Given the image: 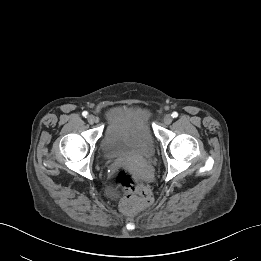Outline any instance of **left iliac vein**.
I'll return each mask as SVG.
<instances>
[{
	"label": "left iliac vein",
	"mask_w": 261,
	"mask_h": 261,
	"mask_svg": "<svg viewBox=\"0 0 261 261\" xmlns=\"http://www.w3.org/2000/svg\"><path fill=\"white\" fill-rule=\"evenodd\" d=\"M172 116L170 114H166L163 118V122L166 124V125H169L171 124L172 122Z\"/></svg>",
	"instance_id": "4c4485c4"
}]
</instances>
